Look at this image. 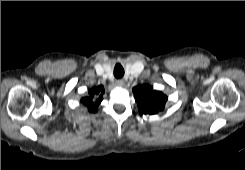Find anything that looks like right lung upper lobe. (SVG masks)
<instances>
[{
	"label": "right lung upper lobe",
	"mask_w": 245,
	"mask_h": 170,
	"mask_svg": "<svg viewBox=\"0 0 245 170\" xmlns=\"http://www.w3.org/2000/svg\"><path fill=\"white\" fill-rule=\"evenodd\" d=\"M103 94H104L103 86L93 87L89 91V96L82 98L81 102L89 108L90 112L95 113L98 110V105L101 103L103 99Z\"/></svg>",
	"instance_id": "right-lung-upper-lobe-1"
}]
</instances>
